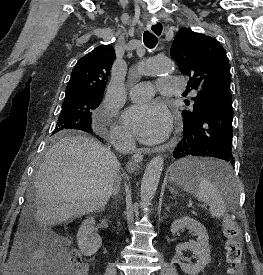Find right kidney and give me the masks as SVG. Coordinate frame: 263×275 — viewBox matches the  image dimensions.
Returning <instances> with one entry per match:
<instances>
[{
	"mask_svg": "<svg viewBox=\"0 0 263 275\" xmlns=\"http://www.w3.org/2000/svg\"><path fill=\"white\" fill-rule=\"evenodd\" d=\"M77 243L79 250L85 256L94 255L102 244V239L95 232V218L88 217L79 227L77 233Z\"/></svg>",
	"mask_w": 263,
	"mask_h": 275,
	"instance_id": "1",
	"label": "right kidney"
}]
</instances>
